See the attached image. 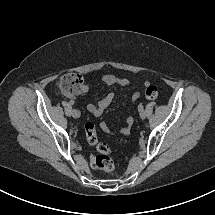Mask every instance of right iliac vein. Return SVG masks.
I'll use <instances>...</instances> for the list:
<instances>
[{
    "label": "right iliac vein",
    "instance_id": "1",
    "mask_svg": "<svg viewBox=\"0 0 215 215\" xmlns=\"http://www.w3.org/2000/svg\"><path fill=\"white\" fill-rule=\"evenodd\" d=\"M72 116H73L74 118H79L80 112H79L78 110H73V111H72Z\"/></svg>",
    "mask_w": 215,
    "mask_h": 215
}]
</instances>
